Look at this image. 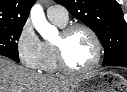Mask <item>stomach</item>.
Masks as SVG:
<instances>
[{"instance_id":"1","label":"stomach","mask_w":127,"mask_h":92,"mask_svg":"<svg viewBox=\"0 0 127 92\" xmlns=\"http://www.w3.org/2000/svg\"><path fill=\"white\" fill-rule=\"evenodd\" d=\"M127 82L112 72L93 71L75 84L70 92H124Z\"/></svg>"}]
</instances>
